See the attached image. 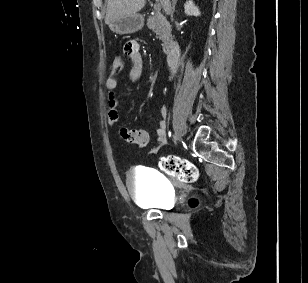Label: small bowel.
Returning <instances> with one entry per match:
<instances>
[{"label":"small bowel","instance_id":"small-bowel-1","mask_svg":"<svg viewBox=\"0 0 308 283\" xmlns=\"http://www.w3.org/2000/svg\"><path fill=\"white\" fill-rule=\"evenodd\" d=\"M123 52L131 62L132 66L129 70V78L132 81H138L144 71L143 58L140 52V46L137 41H128L123 47ZM107 90V119L110 127L119 129L121 138L139 148L146 147L150 142V134L144 129H130L127 127H119V103L116 98L115 89L117 87V80L114 77H109L105 82ZM156 144L152 150V153H156L161 147L166 144V107L161 108V118L158 121V126L155 130Z\"/></svg>","mask_w":308,"mask_h":283}]
</instances>
